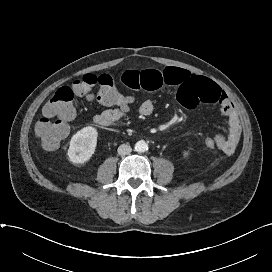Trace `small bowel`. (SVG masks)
I'll use <instances>...</instances> for the list:
<instances>
[{"instance_id":"c3829d8e","label":"small bowel","mask_w":272,"mask_h":272,"mask_svg":"<svg viewBox=\"0 0 272 272\" xmlns=\"http://www.w3.org/2000/svg\"><path fill=\"white\" fill-rule=\"evenodd\" d=\"M122 84L132 90L154 91L165 86H176L177 99L188 110L196 108L201 103H213L219 106L220 114L228 121L226 134L213 137L216 148L226 155H232L241 136V121L239 114L225 92L213 81L199 75L175 67L164 69L128 70L121 76ZM154 110L150 100L143 101L138 107V113L149 116ZM128 109L112 107L94 117V123L107 128L115 125L123 118Z\"/></svg>"}]
</instances>
